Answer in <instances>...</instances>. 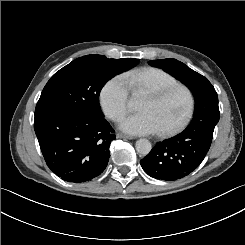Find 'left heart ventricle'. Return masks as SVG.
Wrapping results in <instances>:
<instances>
[{
    "mask_svg": "<svg viewBox=\"0 0 245 245\" xmlns=\"http://www.w3.org/2000/svg\"><path fill=\"white\" fill-rule=\"evenodd\" d=\"M186 105L184 92L177 91L162 102H157L153 96H142L138 111L149 112L161 130L178 121L184 114Z\"/></svg>",
    "mask_w": 245,
    "mask_h": 245,
    "instance_id": "obj_1",
    "label": "left heart ventricle"
}]
</instances>
